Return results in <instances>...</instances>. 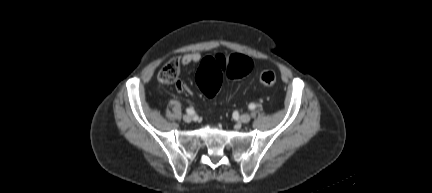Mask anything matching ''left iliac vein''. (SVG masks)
Instances as JSON below:
<instances>
[{
  "label": "left iliac vein",
  "mask_w": 432,
  "mask_h": 193,
  "mask_svg": "<svg viewBox=\"0 0 432 193\" xmlns=\"http://www.w3.org/2000/svg\"><path fill=\"white\" fill-rule=\"evenodd\" d=\"M251 120V116L247 113H244L240 116V121L242 123H248Z\"/></svg>",
  "instance_id": "left-iliac-vein-1"
}]
</instances>
